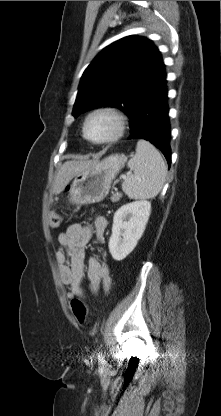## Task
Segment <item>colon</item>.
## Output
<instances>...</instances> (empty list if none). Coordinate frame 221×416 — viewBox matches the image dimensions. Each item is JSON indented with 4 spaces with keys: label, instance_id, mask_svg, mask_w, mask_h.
Listing matches in <instances>:
<instances>
[{
    "label": "colon",
    "instance_id": "1",
    "mask_svg": "<svg viewBox=\"0 0 221 416\" xmlns=\"http://www.w3.org/2000/svg\"><path fill=\"white\" fill-rule=\"evenodd\" d=\"M63 218L58 213H52L49 217L51 227H58L62 224ZM71 309L74 317L80 324H84L87 320L88 310L84 301L81 299H73L71 301Z\"/></svg>",
    "mask_w": 221,
    "mask_h": 416
}]
</instances>
